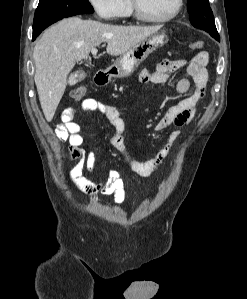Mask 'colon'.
Segmentation results:
<instances>
[{"mask_svg": "<svg viewBox=\"0 0 247 299\" xmlns=\"http://www.w3.org/2000/svg\"><path fill=\"white\" fill-rule=\"evenodd\" d=\"M203 45L204 44L202 41H194L189 44V48L191 50H201L203 48ZM86 91V86L78 85L70 91V97L75 101H79L84 98Z\"/></svg>", "mask_w": 247, "mask_h": 299, "instance_id": "1", "label": "colon"}]
</instances>
